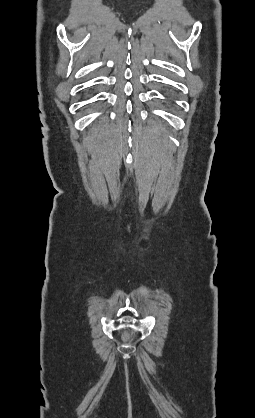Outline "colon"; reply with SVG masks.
I'll use <instances>...</instances> for the list:
<instances>
[{"instance_id":"1","label":"colon","mask_w":255,"mask_h":418,"mask_svg":"<svg viewBox=\"0 0 255 418\" xmlns=\"http://www.w3.org/2000/svg\"><path fill=\"white\" fill-rule=\"evenodd\" d=\"M131 337H132V332L131 331H126L122 336V338L125 342H128Z\"/></svg>"}]
</instances>
